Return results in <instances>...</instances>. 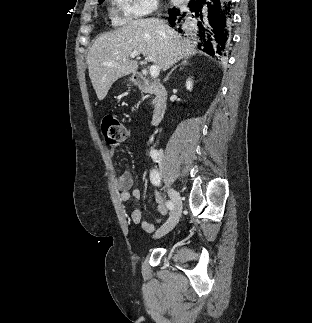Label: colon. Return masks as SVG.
<instances>
[{
	"label": "colon",
	"mask_w": 312,
	"mask_h": 323,
	"mask_svg": "<svg viewBox=\"0 0 312 323\" xmlns=\"http://www.w3.org/2000/svg\"><path fill=\"white\" fill-rule=\"evenodd\" d=\"M102 135L107 144L122 142L127 134L124 123L115 115H106L101 120Z\"/></svg>",
	"instance_id": "obj_1"
}]
</instances>
